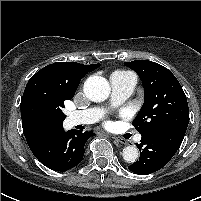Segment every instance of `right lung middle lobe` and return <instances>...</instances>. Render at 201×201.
I'll list each match as a JSON object with an SVG mask.
<instances>
[{"label": "right lung middle lobe", "instance_id": "dd1d6c3e", "mask_svg": "<svg viewBox=\"0 0 201 201\" xmlns=\"http://www.w3.org/2000/svg\"><path fill=\"white\" fill-rule=\"evenodd\" d=\"M73 95L64 88L43 78H31L21 101V112L45 122L64 121L65 115L61 108L64 101L70 100Z\"/></svg>", "mask_w": 201, "mask_h": 201}]
</instances>
